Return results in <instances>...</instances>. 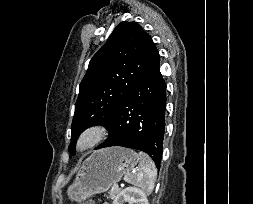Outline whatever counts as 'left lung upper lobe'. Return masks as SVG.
I'll return each instance as SVG.
<instances>
[{
	"instance_id": "5c2ea615",
	"label": "left lung upper lobe",
	"mask_w": 253,
	"mask_h": 204,
	"mask_svg": "<svg viewBox=\"0 0 253 204\" xmlns=\"http://www.w3.org/2000/svg\"><path fill=\"white\" fill-rule=\"evenodd\" d=\"M156 46L136 22L123 21L92 57L80 83L71 125L69 152L82 131L94 125L107 127L121 104L145 72Z\"/></svg>"
}]
</instances>
